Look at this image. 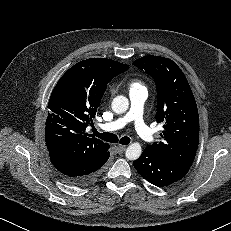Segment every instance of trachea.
<instances>
[{
  "label": "trachea",
  "instance_id": "trachea-1",
  "mask_svg": "<svg viewBox=\"0 0 231 231\" xmlns=\"http://www.w3.org/2000/svg\"><path fill=\"white\" fill-rule=\"evenodd\" d=\"M93 133L94 136L106 141V142H110V143H120L122 145H128L130 143V138L125 136L122 138H118L117 135L113 134V133H108V132H104V133H99L96 129H93Z\"/></svg>",
  "mask_w": 231,
  "mask_h": 231
}]
</instances>
